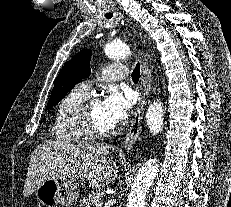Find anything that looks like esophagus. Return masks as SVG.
I'll use <instances>...</instances> for the list:
<instances>
[{"instance_id": "esophagus-1", "label": "esophagus", "mask_w": 231, "mask_h": 207, "mask_svg": "<svg viewBox=\"0 0 231 207\" xmlns=\"http://www.w3.org/2000/svg\"><path fill=\"white\" fill-rule=\"evenodd\" d=\"M152 75L149 69L148 60L146 58L142 61V69H141V86H140V94L141 98L137 105V108L133 114L130 127L125 136V140L123 142V148L127 152H131L135 146L137 139L140 136L142 131V119L144 115V105L146 96L151 87Z\"/></svg>"}]
</instances>
